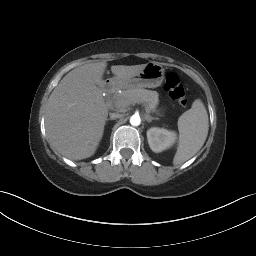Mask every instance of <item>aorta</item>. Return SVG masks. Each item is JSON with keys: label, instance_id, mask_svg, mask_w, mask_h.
I'll use <instances>...</instances> for the list:
<instances>
[{"label": "aorta", "instance_id": "aorta-1", "mask_svg": "<svg viewBox=\"0 0 256 256\" xmlns=\"http://www.w3.org/2000/svg\"><path fill=\"white\" fill-rule=\"evenodd\" d=\"M130 124L132 126H139L141 124V118L139 115H133L130 118Z\"/></svg>", "mask_w": 256, "mask_h": 256}]
</instances>
